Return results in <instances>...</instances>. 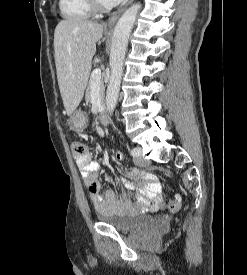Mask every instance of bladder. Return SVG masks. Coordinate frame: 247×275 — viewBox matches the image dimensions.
<instances>
[{
  "mask_svg": "<svg viewBox=\"0 0 247 275\" xmlns=\"http://www.w3.org/2000/svg\"><path fill=\"white\" fill-rule=\"evenodd\" d=\"M96 217L102 224L110 225L122 232H130L139 227L151 225L156 221L155 216L133 212L127 215L107 214L97 211Z\"/></svg>",
  "mask_w": 247,
  "mask_h": 275,
  "instance_id": "obj_1",
  "label": "bladder"
}]
</instances>
